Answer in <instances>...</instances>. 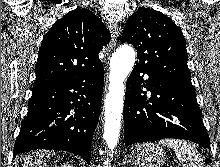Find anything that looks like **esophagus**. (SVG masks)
Listing matches in <instances>:
<instances>
[{
    "label": "esophagus",
    "instance_id": "obj_1",
    "mask_svg": "<svg viewBox=\"0 0 220 167\" xmlns=\"http://www.w3.org/2000/svg\"><path fill=\"white\" fill-rule=\"evenodd\" d=\"M118 36H119L118 27L114 25L111 28V40L107 46V54H110L113 51L114 47L116 46Z\"/></svg>",
    "mask_w": 220,
    "mask_h": 167
}]
</instances>
